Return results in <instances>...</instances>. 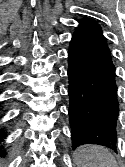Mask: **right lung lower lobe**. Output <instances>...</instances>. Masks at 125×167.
Here are the masks:
<instances>
[{"label": "right lung lower lobe", "mask_w": 125, "mask_h": 167, "mask_svg": "<svg viewBox=\"0 0 125 167\" xmlns=\"http://www.w3.org/2000/svg\"><path fill=\"white\" fill-rule=\"evenodd\" d=\"M5 137H6V133H4V131L1 129L0 130V142L3 141V138H5ZM2 148H3V146L0 149H2ZM2 152H4V150Z\"/></svg>", "instance_id": "98d812e1"}]
</instances>
